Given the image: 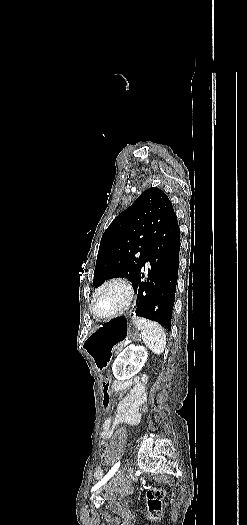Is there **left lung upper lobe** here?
<instances>
[{
    "mask_svg": "<svg viewBox=\"0 0 247 525\" xmlns=\"http://www.w3.org/2000/svg\"><path fill=\"white\" fill-rule=\"evenodd\" d=\"M167 195L158 188L145 190L105 230L98 251L93 285L126 277L132 283L146 262L149 244L174 214Z\"/></svg>",
    "mask_w": 247,
    "mask_h": 525,
    "instance_id": "left-lung-upper-lobe-1",
    "label": "left lung upper lobe"
}]
</instances>
